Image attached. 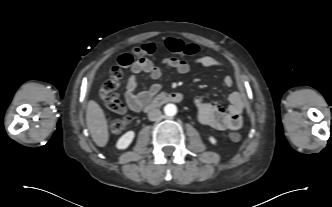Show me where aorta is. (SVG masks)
Wrapping results in <instances>:
<instances>
[{"label": "aorta", "instance_id": "762f6f07", "mask_svg": "<svg viewBox=\"0 0 332 207\" xmlns=\"http://www.w3.org/2000/svg\"><path fill=\"white\" fill-rule=\"evenodd\" d=\"M164 113L166 116L172 117L177 113V107L174 104H167L164 107Z\"/></svg>", "mask_w": 332, "mask_h": 207}]
</instances>
